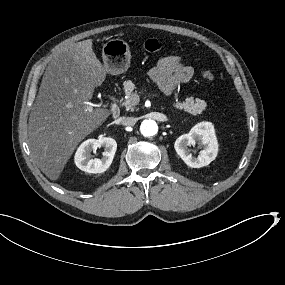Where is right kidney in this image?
Returning <instances> with one entry per match:
<instances>
[{
	"instance_id": "right-kidney-1",
	"label": "right kidney",
	"mask_w": 285,
	"mask_h": 285,
	"mask_svg": "<svg viewBox=\"0 0 285 285\" xmlns=\"http://www.w3.org/2000/svg\"><path fill=\"white\" fill-rule=\"evenodd\" d=\"M101 147H103L105 150V153H103V158L92 159L90 153H95L96 149ZM116 149L117 143L115 139L110 137L87 140L81 144L76 152V166L84 172L103 173L111 165Z\"/></svg>"
}]
</instances>
